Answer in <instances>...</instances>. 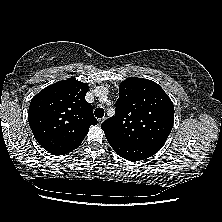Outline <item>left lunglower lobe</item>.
I'll list each match as a JSON object with an SVG mask.
<instances>
[{
  "mask_svg": "<svg viewBox=\"0 0 222 222\" xmlns=\"http://www.w3.org/2000/svg\"><path fill=\"white\" fill-rule=\"evenodd\" d=\"M107 140L120 157L130 161H139L149 158L161 149L149 145H128L111 139Z\"/></svg>",
  "mask_w": 222,
  "mask_h": 222,
  "instance_id": "obj_1",
  "label": "left lung lower lobe"
}]
</instances>
